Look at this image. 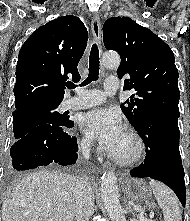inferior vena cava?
<instances>
[{
  "mask_svg": "<svg viewBox=\"0 0 190 221\" xmlns=\"http://www.w3.org/2000/svg\"><path fill=\"white\" fill-rule=\"evenodd\" d=\"M81 152L85 159H89L90 143L81 142ZM75 219L76 221H89L94 213V193L88 179H80L75 184Z\"/></svg>",
  "mask_w": 190,
  "mask_h": 221,
  "instance_id": "602c4592",
  "label": "inferior vena cava"
}]
</instances>
